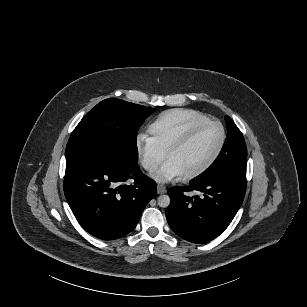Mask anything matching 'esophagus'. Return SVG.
<instances>
[{
	"label": "esophagus",
	"instance_id": "obj_1",
	"mask_svg": "<svg viewBox=\"0 0 307 307\" xmlns=\"http://www.w3.org/2000/svg\"><path fill=\"white\" fill-rule=\"evenodd\" d=\"M157 192H158V194H164V193L167 192V189H166V187L164 185L159 184L157 186Z\"/></svg>",
	"mask_w": 307,
	"mask_h": 307
}]
</instances>
